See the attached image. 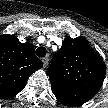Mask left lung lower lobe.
I'll use <instances>...</instances> for the list:
<instances>
[{
    "label": "left lung lower lobe",
    "mask_w": 108,
    "mask_h": 108,
    "mask_svg": "<svg viewBox=\"0 0 108 108\" xmlns=\"http://www.w3.org/2000/svg\"><path fill=\"white\" fill-rule=\"evenodd\" d=\"M52 92L57 100L69 106H79L90 100L96 89L79 88L65 83H52Z\"/></svg>",
    "instance_id": "left-lung-lower-lobe-1"
}]
</instances>
